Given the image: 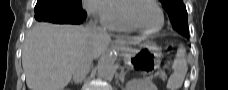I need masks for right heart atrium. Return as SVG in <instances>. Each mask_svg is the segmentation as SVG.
Here are the masks:
<instances>
[{"label":"right heart atrium","mask_w":228,"mask_h":90,"mask_svg":"<svg viewBox=\"0 0 228 90\" xmlns=\"http://www.w3.org/2000/svg\"><path fill=\"white\" fill-rule=\"evenodd\" d=\"M83 6L89 16L106 25L111 17L110 1L107 0H84Z\"/></svg>","instance_id":"right-heart-atrium-1"}]
</instances>
